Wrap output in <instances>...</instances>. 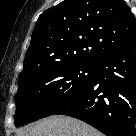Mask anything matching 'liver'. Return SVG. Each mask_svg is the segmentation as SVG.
Here are the masks:
<instances>
[{"label":"liver","mask_w":136,"mask_h":136,"mask_svg":"<svg viewBox=\"0 0 136 136\" xmlns=\"http://www.w3.org/2000/svg\"><path fill=\"white\" fill-rule=\"evenodd\" d=\"M18 136H101L93 127L67 116H51L26 126Z\"/></svg>","instance_id":"liver-1"}]
</instances>
